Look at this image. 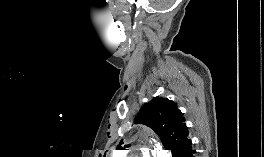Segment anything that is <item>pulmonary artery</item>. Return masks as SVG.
Segmentation results:
<instances>
[{
	"label": "pulmonary artery",
	"instance_id": "pulmonary-artery-1",
	"mask_svg": "<svg viewBox=\"0 0 264 157\" xmlns=\"http://www.w3.org/2000/svg\"><path fill=\"white\" fill-rule=\"evenodd\" d=\"M143 157H150L149 154L145 153Z\"/></svg>",
	"mask_w": 264,
	"mask_h": 157
}]
</instances>
